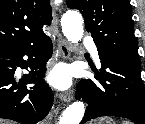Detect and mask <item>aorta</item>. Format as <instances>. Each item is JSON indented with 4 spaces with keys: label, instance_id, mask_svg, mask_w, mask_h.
<instances>
[{
    "label": "aorta",
    "instance_id": "aorta-1",
    "mask_svg": "<svg viewBox=\"0 0 145 124\" xmlns=\"http://www.w3.org/2000/svg\"><path fill=\"white\" fill-rule=\"evenodd\" d=\"M61 26L64 36L71 43L77 44L83 37V18L79 12L67 11L61 18ZM84 113V103L74 102L63 112L59 124H79Z\"/></svg>",
    "mask_w": 145,
    "mask_h": 124
}]
</instances>
